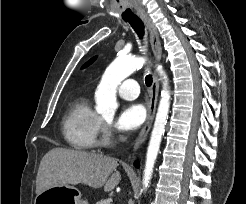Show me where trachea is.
Segmentation results:
<instances>
[{
  "label": "trachea",
  "mask_w": 246,
  "mask_h": 204,
  "mask_svg": "<svg viewBox=\"0 0 246 204\" xmlns=\"http://www.w3.org/2000/svg\"><path fill=\"white\" fill-rule=\"evenodd\" d=\"M125 21L129 22L131 27L137 33L138 37L141 40H143L145 31H144V24L142 23L141 19L136 17V18L125 20ZM145 83L148 87H150L152 85V76L151 75H146Z\"/></svg>",
  "instance_id": "obj_1"
}]
</instances>
